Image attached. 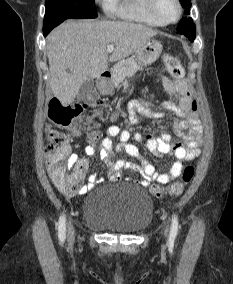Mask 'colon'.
Returning a JSON list of instances; mask_svg holds the SVG:
<instances>
[{
    "label": "colon",
    "instance_id": "colon-1",
    "mask_svg": "<svg viewBox=\"0 0 233 284\" xmlns=\"http://www.w3.org/2000/svg\"><path fill=\"white\" fill-rule=\"evenodd\" d=\"M164 65L169 74L175 79H182L184 68L180 60L170 54L163 56ZM105 104L103 98L92 96L85 102L76 105H64L58 99H52L49 103L48 116L50 121L57 127L52 130L47 137L46 161H48L55 181V186L65 195H73L81 189V183L85 172L81 167L65 166L62 159L68 148V135L63 131L68 129L87 108H99ZM100 139V133L92 128L88 133V140L96 144ZM194 174V168L191 165L183 169L180 181L173 182L169 187V193L173 196H179L183 193L185 185L191 180ZM153 196L160 198L164 190L158 186L150 187Z\"/></svg>",
    "mask_w": 233,
    "mask_h": 284
}]
</instances>
